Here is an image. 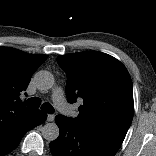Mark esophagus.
Wrapping results in <instances>:
<instances>
[{"instance_id":"1","label":"esophagus","mask_w":156,"mask_h":156,"mask_svg":"<svg viewBox=\"0 0 156 156\" xmlns=\"http://www.w3.org/2000/svg\"><path fill=\"white\" fill-rule=\"evenodd\" d=\"M55 119V115L54 114H48L47 116V121L52 122Z\"/></svg>"}]
</instances>
